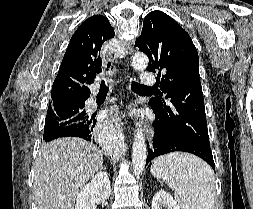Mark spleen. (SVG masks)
I'll return each instance as SVG.
<instances>
[{
    "instance_id": "spleen-1",
    "label": "spleen",
    "mask_w": 253,
    "mask_h": 209,
    "mask_svg": "<svg viewBox=\"0 0 253 209\" xmlns=\"http://www.w3.org/2000/svg\"><path fill=\"white\" fill-rule=\"evenodd\" d=\"M151 174L175 191L180 209H214V173L200 158L170 153L156 158Z\"/></svg>"
}]
</instances>
